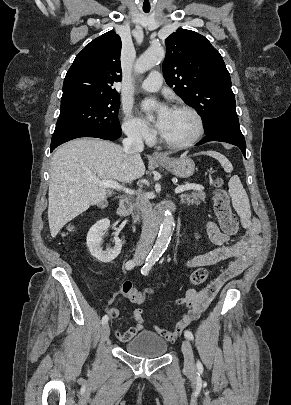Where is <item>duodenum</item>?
Segmentation results:
<instances>
[{"instance_id": "1", "label": "duodenum", "mask_w": 291, "mask_h": 405, "mask_svg": "<svg viewBox=\"0 0 291 405\" xmlns=\"http://www.w3.org/2000/svg\"><path fill=\"white\" fill-rule=\"evenodd\" d=\"M130 209H131L130 202L128 200H123V201L120 202V205H119L118 210H117V214L120 217H125L129 213ZM163 211H164V207L162 208V211H161L162 216H163Z\"/></svg>"}]
</instances>
